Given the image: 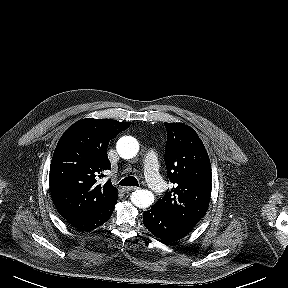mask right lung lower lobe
I'll use <instances>...</instances> for the list:
<instances>
[{"label": "right lung lower lobe", "instance_id": "obj_1", "mask_svg": "<svg viewBox=\"0 0 288 288\" xmlns=\"http://www.w3.org/2000/svg\"><path fill=\"white\" fill-rule=\"evenodd\" d=\"M117 198L106 204L97 212L67 220L71 225L80 231H90L104 224L112 215Z\"/></svg>", "mask_w": 288, "mask_h": 288}]
</instances>
